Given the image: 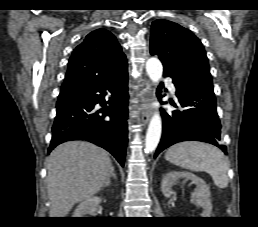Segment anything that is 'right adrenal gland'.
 <instances>
[{
  "instance_id": "obj_1",
  "label": "right adrenal gland",
  "mask_w": 258,
  "mask_h": 227,
  "mask_svg": "<svg viewBox=\"0 0 258 227\" xmlns=\"http://www.w3.org/2000/svg\"><path fill=\"white\" fill-rule=\"evenodd\" d=\"M111 176L117 180L116 174L114 172V168L111 169ZM110 185V179H108V181L106 182L105 186H109Z\"/></svg>"
}]
</instances>
